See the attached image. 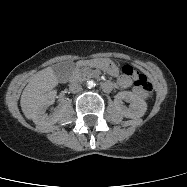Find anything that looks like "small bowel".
<instances>
[{
    "label": "small bowel",
    "mask_w": 187,
    "mask_h": 187,
    "mask_svg": "<svg viewBox=\"0 0 187 187\" xmlns=\"http://www.w3.org/2000/svg\"><path fill=\"white\" fill-rule=\"evenodd\" d=\"M110 84H111V86H112L111 89H113L116 85L119 86V87H121V88H124V89H125V88L131 87L132 84H133V82H132V79H131V78L126 77V76H122V77H120V78L118 79V81H117L116 84H115V83H112V82H110ZM135 92L141 95V93L138 91L137 88H135Z\"/></svg>",
    "instance_id": "1"
}]
</instances>
